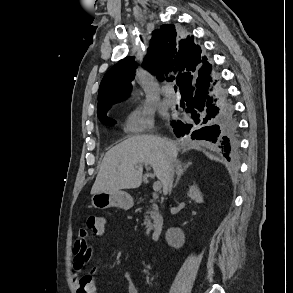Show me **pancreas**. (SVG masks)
Here are the masks:
<instances>
[{
    "instance_id": "1",
    "label": "pancreas",
    "mask_w": 293,
    "mask_h": 293,
    "mask_svg": "<svg viewBox=\"0 0 293 293\" xmlns=\"http://www.w3.org/2000/svg\"><path fill=\"white\" fill-rule=\"evenodd\" d=\"M157 209V205L156 204H153L152 205V210L148 211L147 213L150 214V217L149 216H145V220H144V224L147 226L148 228V232L151 230L152 228V224H151V219L153 218V210H156Z\"/></svg>"
}]
</instances>
